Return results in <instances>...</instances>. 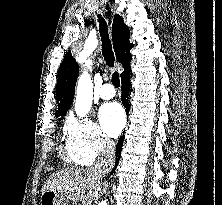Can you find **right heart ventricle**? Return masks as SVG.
Instances as JSON below:
<instances>
[{"instance_id":"1","label":"right heart ventricle","mask_w":222,"mask_h":205,"mask_svg":"<svg viewBox=\"0 0 222 205\" xmlns=\"http://www.w3.org/2000/svg\"><path fill=\"white\" fill-rule=\"evenodd\" d=\"M65 159L68 162L74 163V164H80L77 159L70 153V151L67 149V152L64 154Z\"/></svg>"}]
</instances>
